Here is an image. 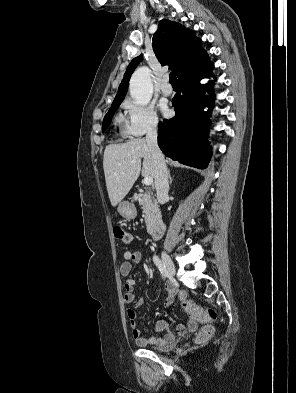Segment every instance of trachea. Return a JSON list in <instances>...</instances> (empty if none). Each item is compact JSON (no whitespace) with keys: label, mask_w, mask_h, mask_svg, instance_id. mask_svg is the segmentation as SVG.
<instances>
[{"label":"trachea","mask_w":296,"mask_h":393,"mask_svg":"<svg viewBox=\"0 0 296 393\" xmlns=\"http://www.w3.org/2000/svg\"><path fill=\"white\" fill-rule=\"evenodd\" d=\"M170 83L171 84H177V78L175 72H171L169 75Z\"/></svg>","instance_id":"3493384b"}]
</instances>
